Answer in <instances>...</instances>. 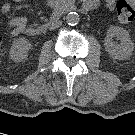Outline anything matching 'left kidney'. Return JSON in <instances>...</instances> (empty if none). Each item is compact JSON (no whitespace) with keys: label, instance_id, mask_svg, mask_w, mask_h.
<instances>
[{"label":"left kidney","instance_id":"1","mask_svg":"<svg viewBox=\"0 0 135 135\" xmlns=\"http://www.w3.org/2000/svg\"><path fill=\"white\" fill-rule=\"evenodd\" d=\"M113 37H117L120 40V44L114 42ZM104 47L112 58L124 60L132 55L135 45L131 41L127 30L118 26H111L105 37Z\"/></svg>","mask_w":135,"mask_h":135}]
</instances>
